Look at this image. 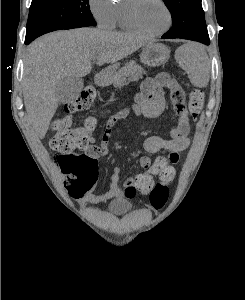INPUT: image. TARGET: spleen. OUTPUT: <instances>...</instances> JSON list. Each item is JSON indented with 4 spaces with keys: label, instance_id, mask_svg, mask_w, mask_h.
<instances>
[{
    "label": "spleen",
    "instance_id": "spleen-1",
    "mask_svg": "<svg viewBox=\"0 0 245 300\" xmlns=\"http://www.w3.org/2000/svg\"><path fill=\"white\" fill-rule=\"evenodd\" d=\"M181 66L196 87H206L209 83V63L204 49L196 44L184 48Z\"/></svg>",
    "mask_w": 245,
    "mask_h": 300
}]
</instances>
